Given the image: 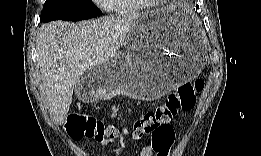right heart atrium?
I'll return each instance as SVG.
<instances>
[{"label": "right heart atrium", "mask_w": 261, "mask_h": 156, "mask_svg": "<svg viewBox=\"0 0 261 156\" xmlns=\"http://www.w3.org/2000/svg\"><path fill=\"white\" fill-rule=\"evenodd\" d=\"M111 0H100L98 4L105 10H112Z\"/></svg>", "instance_id": "1"}]
</instances>
